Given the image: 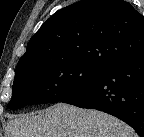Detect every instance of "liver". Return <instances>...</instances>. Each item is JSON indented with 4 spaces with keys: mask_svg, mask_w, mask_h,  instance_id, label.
<instances>
[{
    "mask_svg": "<svg viewBox=\"0 0 144 137\" xmlns=\"http://www.w3.org/2000/svg\"><path fill=\"white\" fill-rule=\"evenodd\" d=\"M8 137H137L118 118L94 109L57 103L40 113L12 116Z\"/></svg>",
    "mask_w": 144,
    "mask_h": 137,
    "instance_id": "6515ba94",
    "label": "liver"
}]
</instances>
